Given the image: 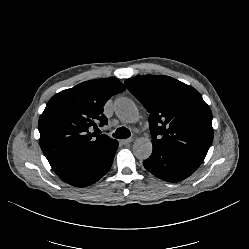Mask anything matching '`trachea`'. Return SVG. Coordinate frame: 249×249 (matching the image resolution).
Returning a JSON list of instances; mask_svg holds the SVG:
<instances>
[{
	"mask_svg": "<svg viewBox=\"0 0 249 249\" xmlns=\"http://www.w3.org/2000/svg\"><path fill=\"white\" fill-rule=\"evenodd\" d=\"M130 136H131L130 130H128L125 127L118 128L113 134V137L117 139L129 138Z\"/></svg>",
	"mask_w": 249,
	"mask_h": 249,
	"instance_id": "1",
	"label": "trachea"
}]
</instances>
